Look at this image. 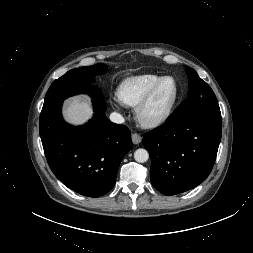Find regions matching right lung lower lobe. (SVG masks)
<instances>
[{
  "label": "right lung lower lobe",
  "instance_id": "98d812e1",
  "mask_svg": "<svg viewBox=\"0 0 253 253\" xmlns=\"http://www.w3.org/2000/svg\"><path fill=\"white\" fill-rule=\"evenodd\" d=\"M92 103L94 116L80 127L63 120L62 103L41 112L40 137L54 175L76 193L100 197L115 185L121 160L133 145L130 130L106 118L103 98Z\"/></svg>",
  "mask_w": 253,
  "mask_h": 253
}]
</instances>
